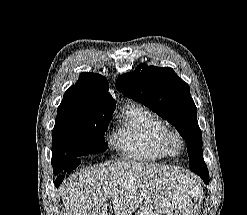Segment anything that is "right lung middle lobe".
I'll return each instance as SVG.
<instances>
[{
    "label": "right lung middle lobe",
    "instance_id": "dd1d6c3e",
    "mask_svg": "<svg viewBox=\"0 0 247 215\" xmlns=\"http://www.w3.org/2000/svg\"><path fill=\"white\" fill-rule=\"evenodd\" d=\"M112 114V109L94 107L71 94H64L52 131L54 174L71 172L79 165L76 159L106 150L104 133Z\"/></svg>",
    "mask_w": 247,
    "mask_h": 215
}]
</instances>
